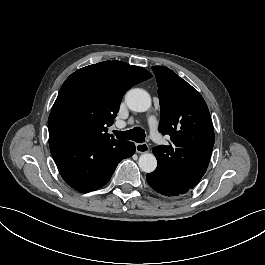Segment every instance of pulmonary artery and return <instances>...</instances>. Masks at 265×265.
I'll return each mask as SVG.
<instances>
[{"label": "pulmonary artery", "mask_w": 265, "mask_h": 265, "mask_svg": "<svg viewBox=\"0 0 265 265\" xmlns=\"http://www.w3.org/2000/svg\"><path fill=\"white\" fill-rule=\"evenodd\" d=\"M146 127L148 129H151V130H154L156 129L157 127V124H158V120L156 118V116H149L147 119H146ZM124 127H126V123L125 122H118L116 123L115 125V128L116 129H123ZM150 140L152 142V145L154 147H162L164 145V138L161 136V133L159 131H152L150 133Z\"/></svg>", "instance_id": "obj_1"}]
</instances>
